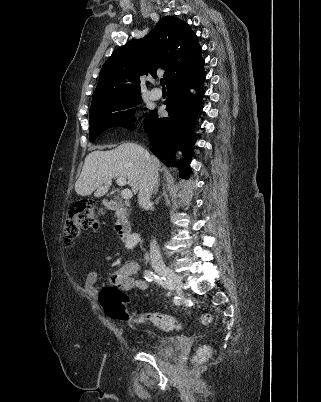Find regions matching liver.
I'll return each mask as SVG.
<instances>
[{
  "mask_svg": "<svg viewBox=\"0 0 321 402\" xmlns=\"http://www.w3.org/2000/svg\"><path fill=\"white\" fill-rule=\"evenodd\" d=\"M146 150L136 143H123L115 149L94 150L84 161L82 172L76 181L75 191L78 195H105L114 177L128 179V184L136 194L141 185L146 166ZM150 159L155 169L160 168V161L154 155Z\"/></svg>",
  "mask_w": 321,
  "mask_h": 402,
  "instance_id": "1",
  "label": "liver"
}]
</instances>
